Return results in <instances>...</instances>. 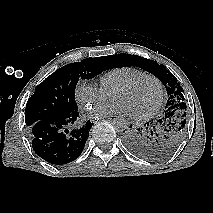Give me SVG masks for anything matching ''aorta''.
Returning a JSON list of instances; mask_svg holds the SVG:
<instances>
[{"mask_svg":"<svg viewBox=\"0 0 213 213\" xmlns=\"http://www.w3.org/2000/svg\"><path fill=\"white\" fill-rule=\"evenodd\" d=\"M112 126L117 132H123L128 128V122L123 117H116L113 122Z\"/></svg>","mask_w":213,"mask_h":213,"instance_id":"aorta-1","label":"aorta"}]
</instances>
